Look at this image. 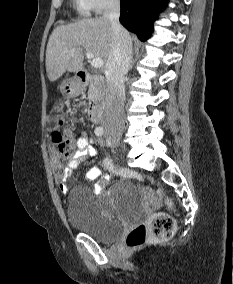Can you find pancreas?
<instances>
[{"label": "pancreas", "instance_id": "1", "mask_svg": "<svg viewBox=\"0 0 233 284\" xmlns=\"http://www.w3.org/2000/svg\"><path fill=\"white\" fill-rule=\"evenodd\" d=\"M88 98H89V100H96L98 98V94H97L96 89L93 86V84L89 88Z\"/></svg>", "mask_w": 233, "mask_h": 284}]
</instances>
